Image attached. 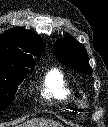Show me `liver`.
<instances>
[{
  "instance_id": "obj_1",
  "label": "liver",
  "mask_w": 108,
  "mask_h": 127,
  "mask_svg": "<svg viewBox=\"0 0 108 127\" xmlns=\"http://www.w3.org/2000/svg\"><path fill=\"white\" fill-rule=\"evenodd\" d=\"M19 127H63L60 123L47 119L34 118L19 125Z\"/></svg>"
}]
</instances>
